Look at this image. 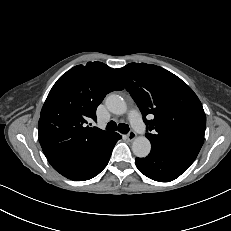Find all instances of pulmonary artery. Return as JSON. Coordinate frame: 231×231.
<instances>
[{
  "label": "pulmonary artery",
  "instance_id": "e3ab8cb5",
  "mask_svg": "<svg viewBox=\"0 0 231 231\" xmlns=\"http://www.w3.org/2000/svg\"><path fill=\"white\" fill-rule=\"evenodd\" d=\"M129 120L137 132H143L145 130V124L142 121L141 115L137 110H132L129 115Z\"/></svg>",
  "mask_w": 231,
  "mask_h": 231
}]
</instances>
